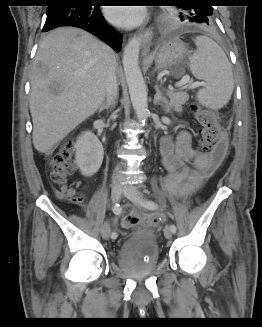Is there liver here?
<instances>
[{"mask_svg": "<svg viewBox=\"0 0 262 327\" xmlns=\"http://www.w3.org/2000/svg\"><path fill=\"white\" fill-rule=\"evenodd\" d=\"M112 49L76 28H59L40 42L31 77L33 145L48 154L104 101Z\"/></svg>", "mask_w": 262, "mask_h": 327, "instance_id": "6515ba94", "label": "liver"}]
</instances>
